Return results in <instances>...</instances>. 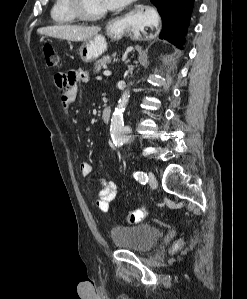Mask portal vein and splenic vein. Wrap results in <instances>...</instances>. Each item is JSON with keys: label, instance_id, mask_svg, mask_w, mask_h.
<instances>
[{"label": "portal vein and splenic vein", "instance_id": "portal-vein-and-splenic-vein-1", "mask_svg": "<svg viewBox=\"0 0 247 299\" xmlns=\"http://www.w3.org/2000/svg\"><path fill=\"white\" fill-rule=\"evenodd\" d=\"M103 74H104L105 76H109V75H111V72H110L109 70H105V71L103 72Z\"/></svg>", "mask_w": 247, "mask_h": 299}]
</instances>
